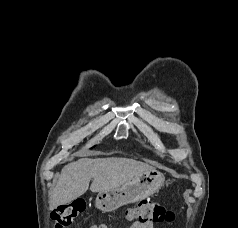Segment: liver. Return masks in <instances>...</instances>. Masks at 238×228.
<instances>
[{
    "label": "liver",
    "mask_w": 238,
    "mask_h": 228,
    "mask_svg": "<svg viewBox=\"0 0 238 228\" xmlns=\"http://www.w3.org/2000/svg\"><path fill=\"white\" fill-rule=\"evenodd\" d=\"M154 168L128 158H82L64 166L49 198L50 210L72 202L90 186L92 192H104L121 187L134 177Z\"/></svg>",
    "instance_id": "6515ba94"
}]
</instances>
